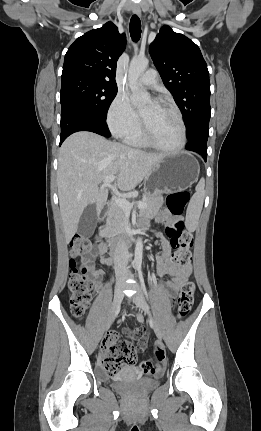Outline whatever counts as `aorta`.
Masks as SVG:
<instances>
[{"label": "aorta", "instance_id": "aorta-1", "mask_svg": "<svg viewBox=\"0 0 261 431\" xmlns=\"http://www.w3.org/2000/svg\"><path fill=\"white\" fill-rule=\"evenodd\" d=\"M149 60L147 58H133L130 62L128 71V82L131 90L132 103L138 107L146 105L150 102V95L147 91L139 87L138 79L140 75L148 68ZM143 244L142 239L138 238L135 247V263H142Z\"/></svg>", "mask_w": 261, "mask_h": 431}]
</instances>
